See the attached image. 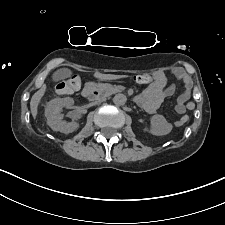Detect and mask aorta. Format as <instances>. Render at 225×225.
Listing matches in <instances>:
<instances>
[{
	"mask_svg": "<svg viewBox=\"0 0 225 225\" xmlns=\"http://www.w3.org/2000/svg\"><path fill=\"white\" fill-rule=\"evenodd\" d=\"M126 102H127V97H126V95H124L122 93L116 94L113 98V103L116 106H123L126 104Z\"/></svg>",
	"mask_w": 225,
	"mask_h": 225,
	"instance_id": "aorta-1",
	"label": "aorta"
}]
</instances>
